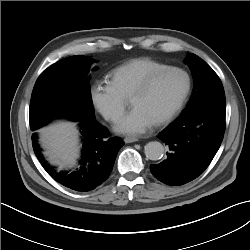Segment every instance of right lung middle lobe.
<instances>
[{
  "instance_id": "right-lung-middle-lobe-1",
  "label": "right lung middle lobe",
  "mask_w": 250,
  "mask_h": 250,
  "mask_svg": "<svg viewBox=\"0 0 250 250\" xmlns=\"http://www.w3.org/2000/svg\"><path fill=\"white\" fill-rule=\"evenodd\" d=\"M92 62L88 56H71L42 72L31 96L29 118L32 131L58 117L95 119L88 76Z\"/></svg>"
}]
</instances>
